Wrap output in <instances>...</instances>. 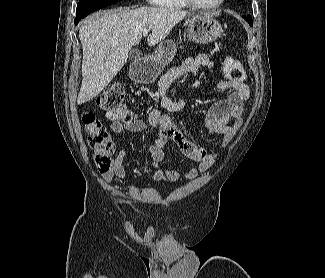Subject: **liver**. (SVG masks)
I'll use <instances>...</instances> for the list:
<instances>
[{
  "mask_svg": "<svg viewBox=\"0 0 325 278\" xmlns=\"http://www.w3.org/2000/svg\"><path fill=\"white\" fill-rule=\"evenodd\" d=\"M189 15L175 8L139 7L88 18L79 29L83 60L77 104L90 101L109 85L126 63L131 48L139 44L143 30L151 29L147 43L153 46Z\"/></svg>",
  "mask_w": 325,
  "mask_h": 278,
  "instance_id": "obj_1",
  "label": "liver"
}]
</instances>
